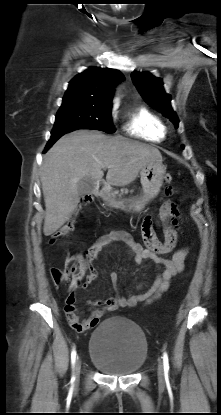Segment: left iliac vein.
Listing matches in <instances>:
<instances>
[{
  "label": "left iliac vein",
  "mask_w": 221,
  "mask_h": 415,
  "mask_svg": "<svg viewBox=\"0 0 221 415\" xmlns=\"http://www.w3.org/2000/svg\"><path fill=\"white\" fill-rule=\"evenodd\" d=\"M158 379L160 382L164 381V367L162 362H159L158 364Z\"/></svg>",
  "instance_id": "4c4485c4"
}]
</instances>
